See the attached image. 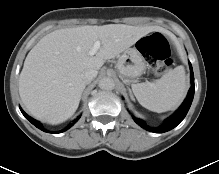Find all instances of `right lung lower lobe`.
<instances>
[{
	"mask_svg": "<svg viewBox=\"0 0 219 174\" xmlns=\"http://www.w3.org/2000/svg\"><path fill=\"white\" fill-rule=\"evenodd\" d=\"M22 114L33 124L35 125L37 128H39L40 130L44 131V132H50L46 129L43 128L42 124H40L38 121H36L35 119L31 118L30 116H28L22 109H21ZM80 117H78L76 120H74V122L69 125L65 130L69 129L72 125H74L76 123V121L79 119ZM65 130H61L59 132H64ZM58 132V133H59ZM52 133V132H51Z\"/></svg>",
	"mask_w": 219,
	"mask_h": 174,
	"instance_id": "1",
	"label": "right lung lower lobe"
}]
</instances>
